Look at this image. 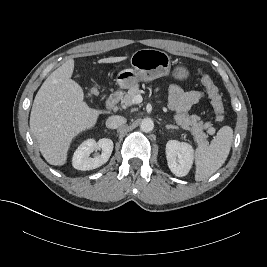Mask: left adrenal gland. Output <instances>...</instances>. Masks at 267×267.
Listing matches in <instances>:
<instances>
[{
	"mask_svg": "<svg viewBox=\"0 0 267 267\" xmlns=\"http://www.w3.org/2000/svg\"><path fill=\"white\" fill-rule=\"evenodd\" d=\"M166 129H177V126H174V125H166L165 126Z\"/></svg>",
	"mask_w": 267,
	"mask_h": 267,
	"instance_id": "1",
	"label": "left adrenal gland"
}]
</instances>
